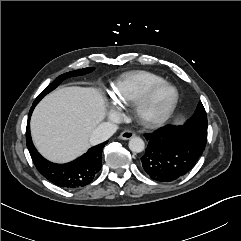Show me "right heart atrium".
Listing matches in <instances>:
<instances>
[{
	"label": "right heart atrium",
	"instance_id": "obj_1",
	"mask_svg": "<svg viewBox=\"0 0 241 241\" xmlns=\"http://www.w3.org/2000/svg\"><path fill=\"white\" fill-rule=\"evenodd\" d=\"M119 115H120L119 110H114V111L112 112V116H119Z\"/></svg>",
	"mask_w": 241,
	"mask_h": 241
}]
</instances>
